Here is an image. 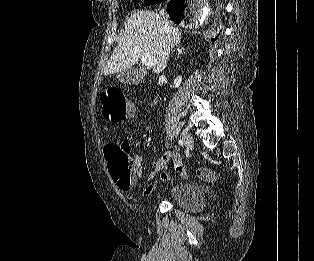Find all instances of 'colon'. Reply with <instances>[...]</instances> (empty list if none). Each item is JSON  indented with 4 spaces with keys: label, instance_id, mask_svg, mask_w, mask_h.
<instances>
[{
    "label": "colon",
    "instance_id": "obj_1",
    "mask_svg": "<svg viewBox=\"0 0 314 261\" xmlns=\"http://www.w3.org/2000/svg\"><path fill=\"white\" fill-rule=\"evenodd\" d=\"M102 114L110 123H119L132 115V107L124 92L111 87L101 93ZM131 145L128 141L121 144H109L104 148L108 171L114 182L122 189H129L134 182V165L130 156ZM197 176L206 181L216 180V174L209 168L197 169Z\"/></svg>",
    "mask_w": 314,
    "mask_h": 261
}]
</instances>
